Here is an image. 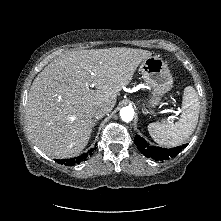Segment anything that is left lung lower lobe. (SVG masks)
I'll use <instances>...</instances> for the list:
<instances>
[{
  "mask_svg": "<svg viewBox=\"0 0 221 221\" xmlns=\"http://www.w3.org/2000/svg\"><path fill=\"white\" fill-rule=\"evenodd\" d=\"M135 144L138 147L139 151L144 154V156L160 161L173 158L187 146V144H185L170 149L155 147L147 143L146 140L139 135L135 136Z\"/></svg>",
  "mask_w": 221,
  "mask_h": 221,
  "instance_id": "1",
  "label": "left lung lower lobe"
}]
</instances>
